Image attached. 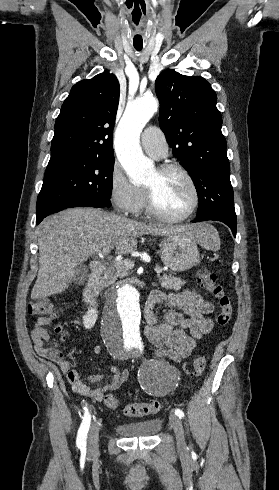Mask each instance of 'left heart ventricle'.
<instances>
[{
  "instance_id": "b2bd125f",
  "label": "left heart ventricle",
  "mask_w": 279,
  "mask_h": 490,
  "mask_svg": "<svg viewBox=\"0 0 279 490\" xmlns=\"http://www.w3.org/2000/svg\"><path fill=\"white\" fill-rule=\"evenodd\" d=\"M147 187L153 189L157 206L168 215H180L192 203L193 192L183 175L178 172L161 173L156 170Z\"/></svg>"
}]
</instances>
